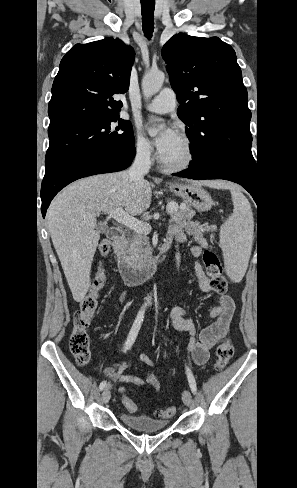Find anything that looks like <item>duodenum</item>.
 Returning a JSON list of instances; mask_svg holds the SVG:
<instances>
[{"instance_id": "1", "label": "duodenum", "mask_w": 297, "mask_h": 488, "mask_svg": "<svg viewBox=\"0 0 297 488\" xmlns=\"http://www.w3.org/2000/svg\"><path fill=\"white\" fill-rule=\"evenodd\" d=\"M108 237L113 245V254L117 260L119 273L128 285L139 284L147 280L156 270L162 256L169 250V246L163 244L154 257L142 265H134L124 251V231L119 227H112L108 232Z\"/></svg>"}]
</instances>
